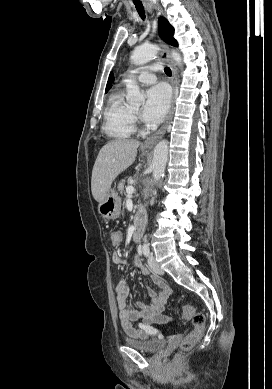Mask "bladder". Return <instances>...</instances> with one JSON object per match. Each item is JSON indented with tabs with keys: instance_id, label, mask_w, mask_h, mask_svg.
Wrapping results in <instances>:
<instances>
[{
	"instance_id": "1",
	"label": "bladder",
	"mask_w": 272,
	"mask_h": 389,
	"mask_svg": "<svg viewBox=\"0 0 272 389\" xmlns=\"http://www.w3.org/2000/svg\"><path fill=\"white\" fill-rule=\"evenodd\" d=\"M126 345L144 353L156 354L165 348V342L158 339L133 340L125 339Z\"/></svg>"
}]
</instances>
